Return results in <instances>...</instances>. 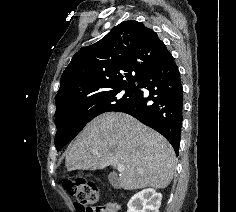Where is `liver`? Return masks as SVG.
<instances>
[{"label":"liver","instance_id":"obj_1","mask_svg":"<svg viewBox=\"0 0 236 212\" xmlns=\"http://www.w3.org/2000/svg\"><path fill=\"white\" fill-rule=\"evenodd\" d=\"M65 164L68 171L124 165L118 178L123 189H163L173 178L176 156L170 143L153 129L128 114L107 112L94 118L77 136L66 153Z\"/></svg>","mask_w":236,"mask_h":212}]
</instances>
